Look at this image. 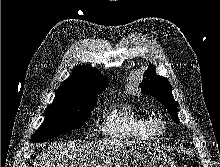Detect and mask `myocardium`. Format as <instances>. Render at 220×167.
I'll return each instance as SVG.
<instances>
[{
  "label": "myocardium",
  "instance_id": "myocardium-1",
  "mask_svg": "<svg viewBox=\"0 0 220 167\" xmlns=\"http://www.w3.org/2000/svg\"><path fill=\"white\" fill-rule=\"evenodd\" d=\"M150 129L155 137H160L165 134L167 127L162 120L153 118L151 120Z\"/></svg>",
  "mask_w": 220,
  "mask_h": 167
}]
</instances>
